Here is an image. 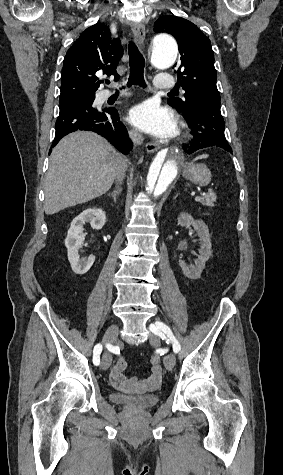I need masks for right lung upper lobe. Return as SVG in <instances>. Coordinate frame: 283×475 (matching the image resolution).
<instances>
[{
    "label": "right lung upper lobe",
    "instance_id": "right-lung-upper-lobe-1",
    "mask_svg": "<svg viewBox=\"0 0 283 475\" xmlns=\"http://www.w3.org/2000/svg\"><path fill=\"white\" fill-rule=\"evenodd\" d=\"M123 55L119 39H111L109 28L97 23L81 33L64 58L61 89L93 92L101 80L96 73L114 75Z\"/></svg>",
    "mask_w": 283,
    "mask_h": 475
}]
</instances>
